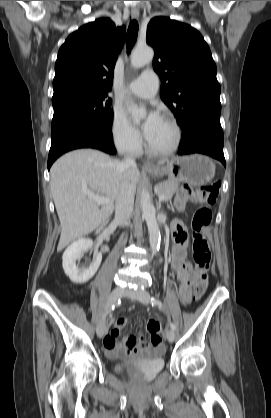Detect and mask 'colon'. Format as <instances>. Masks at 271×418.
I'll return each mask as SVG.
<instances>
[{"label":"colon","mask_w":271,"mask_h":418,"mask_svg":"<svg viewBox=\"0 0 271 418\" xmlns=\"http://www.w3.org/2000/svg\"><path fill=\"white\" fill-rule=\"evenodd\" d=\"M220 189L219 182H212L200 188L183 186L176 195V206L184 209L188 204L198 202L201 206L195 211L192 218L193 260L195 264L194 297L200 298L208 285V271L211 264V252L208 241L203 231L212 220L211 206L215 204ZM151 333V342L160 343L161 338L156 333L160 330V324L152 319L147 324Z\"/></svg>","instance_id":"1"}]
</instances>
